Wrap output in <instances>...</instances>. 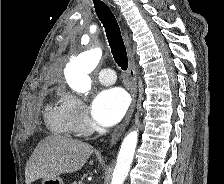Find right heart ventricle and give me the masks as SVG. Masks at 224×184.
Listing matches in <instances>:
<instances>
[{"label":"right heart ventricle","instance_id":"e07e8e85","mask_svg":"<svg viewBox=\"0 0 224 184\" xmlns=\"http://www.w3.org/2000/svg\"><path fill=\"white\" fill-rule=\"evenodd\" d=\"M47 124L50 130L56 134L71 135L74 133L63 99L49 108Z\"/></svg>","mask_w":224,"mask_h":184}]
</instances>
